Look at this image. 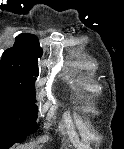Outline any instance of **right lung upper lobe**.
Returning <instances> with one entry per match:
<instances>
[{"mask_svg": "<svg viewBox=\"0 0 124 149\" xmlns=\"http://www.w3.org/2000/svg\"><path fill=\"white\" fill-rule=\"evenodd\" d=\"M42 53V48L35 35L17 36L14 46L7 49L2 55L0 78L24 88L34 87L36 77L39 75L37 62Z\"/></svg>", "mask_w": 124, "mask_h": 149, "instance_id": "right-lung-upper-lobe-1", "label": "right lung upper lobe"}]
</instances>
